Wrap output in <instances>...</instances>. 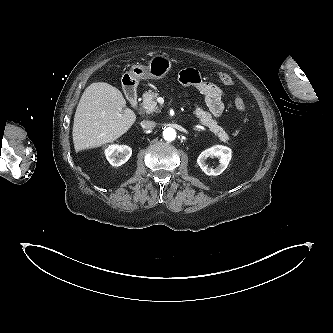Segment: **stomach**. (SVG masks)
<instances>
[{"label":"stomach","instance_id":"0dacf381","mask_svg":"<svg viewBox=\"0 0 333 333\" xmlns=\"http://www.w3.org/2000/svg\"><path fill=\"white\" fill-rule=\"evenodd\" d=\"M172 67L171 60L164 55H155L151 58L148 65L134 64L124 76L133 85H137L140 80L163 79Z\"/></svg>","mask_w":333,"mask_h":333}]
</instances>
